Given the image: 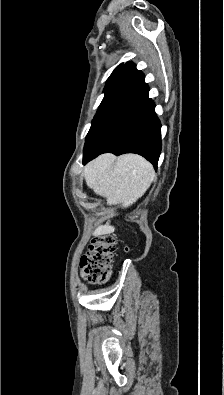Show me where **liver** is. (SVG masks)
<instances>
[{"label": "liver", "mask_w": 224, "mask_h": 395, "mask_svg": "<svg viewBox=\"0 0 224 395\" xmlns=\"http://www.w3.org/2000/svg\"><path fill=\"white\" fill-rule=\"evenodd\" d=\"M83 175L89 188L107 200V205L127 208L141 198L155 178L151 163L137 154L116 157L106 153L91 161ZM109 224L96 228L94 235L114 232Z\"/></svg>", "instance_id": "obj_1"}]
</instances>
